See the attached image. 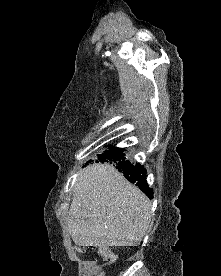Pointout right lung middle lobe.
Returning a JSON list of instances; mask_svg holds the SVG:
<instances>
[{
    "label": "right lung middle lobe",
    "instance_id": "dd1d6c3e",
    "mask_svg": "<svg viewBox=\"0 0 221 276\" xmlns=\"http://www.w3.org/2000/svg\"><path fill=\"white\" fill-rule=\"evenodd\" d=\"M122 148H117V147H110L109 150L104 151L103 154L98 155V161L101 163L105 162H119L123 159H125V154L123 153ZM97 161V162H98ZM92 160L88 161V163H91Z\"/></svg>",
    "mask_w": 221,
    "mask_h": 276
}]
</instances>
